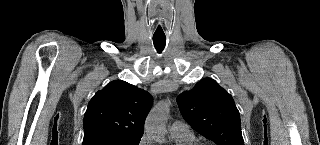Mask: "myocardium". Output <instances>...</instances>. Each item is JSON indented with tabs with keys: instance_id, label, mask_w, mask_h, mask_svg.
<instances>
[{
	"instance_id": "myocardium-1",
	"label": "myocardium",
	"mask_w": 320,
	"mask_h": 145,
	"mask_svg": "<svg viewBox=\"0 0 320 145\" xmlns=\"http://www.w3.org/2000/svg\"><path fill=\"white\" fill-rule=\"evenodd\" d=\"M193 145H206V144H203V143H194Z\"/></svg>"
}]
</instances>
